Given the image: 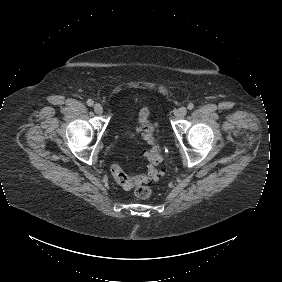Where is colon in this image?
Listing matches in <instances>:
<instances>
[{
	"mask_svg": "<svg viewBox=\"0 0 282 282\" xmlns=\"http://www.w3.org/2000/svg\"><path fill=\"white\" fill-rule=\"evenodd\" d=\"M152 109L149 106H144L141 109L139 129L142 136L147 142L148 149L145 152L147 166L145 171L137 176H128L125 174L122 166L118 163H113L110 167V173L116 182L124 189L131 188L138 183L151 182L156 179L160 173V164L162 162L161 148L157 143L154 124L151 121ZM152 195V188L142 187L136 190L134 197L140 200H146Z\"/></svg>",
	"mask_w": 282,
	"mask_h": 282,
	"instance_id": "colon-1",
	"label": "colon"
}]
</instances>
